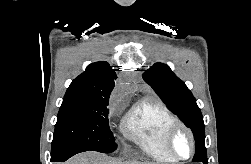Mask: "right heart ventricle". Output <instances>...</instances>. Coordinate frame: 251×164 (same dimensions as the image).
I'll list each match as a JSON object with an SVG mask.
<instances>
[{
  "label": "right heart ventricle",
  "mask_w": 251,
  "mask_h": 164,
  "mask_svg": "<svg viewBox=\"0 0 251 164\" xmlns=\"http://www.w3.org/2000/svg\"><path fill=\"white\" fill-rule=\"evenodd\" d=\"M176 117L164 104L144 99L134 104L125 115L121 130L140 150L155 161L172 164L175 162L163 145L167 128Z\"/></svg>",
  "instance_id": "obj_1"
}]
</instances>
